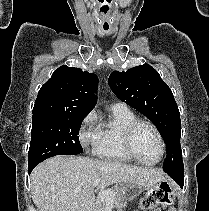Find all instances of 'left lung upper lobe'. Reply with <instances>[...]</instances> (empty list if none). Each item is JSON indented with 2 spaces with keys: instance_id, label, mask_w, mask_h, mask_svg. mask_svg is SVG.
I'll list each match as a JSON object with an SVG mask.
<instances>
[{
  "instance_id": "obj_1",
  "label": "left lung upper lobe",
  "mask_w": 209,
  "mask_h": 211,
  "mask_svg": "<svg viewBox=\"0 0 209 211\" xmlns=\"http://www.w3.org/2000/svg\"><path fill=\"white\" fill-rule=\"evenodd\" d=\"M109 86L116 96L152 120L167 144L165 172L184 168L180 146V113L171 89L149 64L114 71Z\"/></svg>"
}]
</instances>
